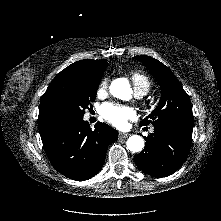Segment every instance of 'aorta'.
Wrapping results in <instances>:
<instances>
[{
  "label": "aorta",
  "instance_id": "762f6f07",
  "mask_svg": "<svg viewBox=\"0 0 221 221\" xmlns=\"http://www.w3.org/2000/svg\"><path fill=\"white\" fill-rule=\"evenodd\" d=\"M110 93L119 99L127 100L131 97L132 88L126 78H117L111 82ZM127 148L131 152H140L144 148V139L139 135H132L126 142Z\"/></svg>",
  "mask_w": 221,
  "mask_h": 221
}]
</instances>
